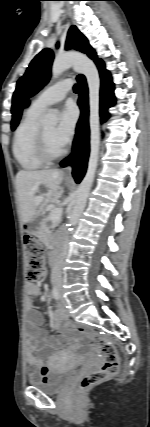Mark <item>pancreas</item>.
I'll list each match as a JSON object with an SVG mask.
<instances>
[{
  "label": "pancreas",
  "instance_id": "pancreas-1",
  "mask_svg": "<svg viewBox=\"0 0 150 427\" xmlns=\"http://www.w3.org/2000/svg\"><path fill=\"white\" fill-rule=\"evenodd\" d=\"M58 222L54 223V226H57ZM38 237L41 241H45L48 238H55L51 235V231L46 227V224H42L38 231Z\"/></svg>",
  "mask_w": 150,
  "mask_h": 427
}]
</instances>
